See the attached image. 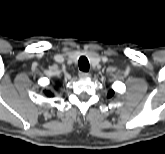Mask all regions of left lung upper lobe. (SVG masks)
Listing matches in <instances>:
<instances>
[{"label": "left lung upper lobe", "mask_w": 165, "mask_h": 154, "mask_svg": "<svg viewBox=\"0 0 165 154\" xmlns=\"http://www.w3.org/2000/svg\"><path fill=\"white\" fill-rule=\"evenodd\" d=\"M113 94H114V91H113V90H111V91L108 93V97L113 96Z\"/></svg>", "instance_id": "5c2ea615"}]
</instances>
